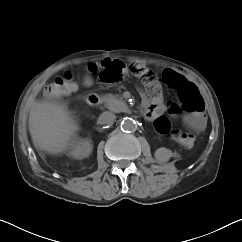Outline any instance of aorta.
<instances>
[{"mask_svg": "<svg viewBox=\"0 0 242 242\" xmlns=\"http://www.w3.org/2000/svg\"><path fill=\"white\" fill-rule=\"evenodd\" d=\"M137 128L136 122L131 118H124L121 122V129L126 132L135 131Z\"/></svg>", "mask_w": 242, "mask_h": 242, "instance_id": "obj_1", "label": "aorta"}]
</instances>
